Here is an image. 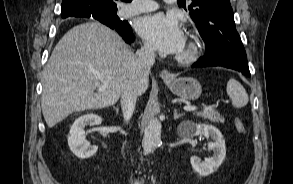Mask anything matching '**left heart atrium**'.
I'll use <instances>...</instances> for the list:
<instances>
[{"label":"left heart atrium","instance_id":"39dd6f15","mask_svg":"<svg viewBox=\"0 0 293 184\" xmlns=\"http://www.w3.org/2000/svg\"><path fill=\"white\" fill-rule=\"evenodd\" d=\"M137 30L153 48L163 53H178L185 41L177 19L161 13L142 17L137 23Z\"/></svg>","mask_w":293,"mask_h":184}]
</instances>
